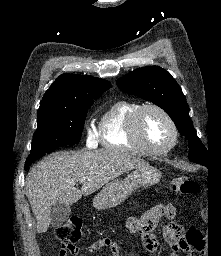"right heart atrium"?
<instances>
[{
	"instance_id": "1",
	"label": "right heart atrium",
	"mask_w": 221,
	"mask_h": 256,
	"mask_svg": "<svg viewBox=\"0 0 221 256\" xmlns=\"http://www.w3.org/2000/svg\"><path fill=\"white\" fill-rule=\"evenodd\" d=\"M86 139H87V143L89 145H94V143H95V135H94L93 130L89 126L86 127Z\"/></svg>"
}]
</instances>
